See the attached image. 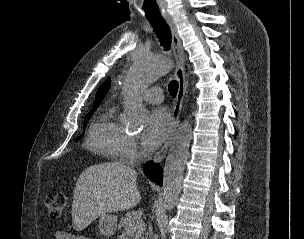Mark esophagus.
<instances>
[{"instance_id": "esophagus-1", "label": "esophagus", "mask_w": 304, "mask_h": 239, "mask_svg": "<svg viewBox=\"0 0 304 239\" xmlns=\"http://www.w3.org/2000/svg\"><path fill=\"white\" fill-rule=\"evenodd\" d=\"M166 23L168 24L171 34H172V45H173V52L176 59V70L174 73L175 78L178 81V92L176 101L173 107V122L170 129V132L167 136V139L160 150L154 155L152 160L155 163L161 162L166 153L168 148L174 138V135L177 131L180 122V113L182 109L183 100L186 93V81H185V54L182 48L181 40L178 35L176 26L171 18H166Z\"/></svg>"}]
</instances>
